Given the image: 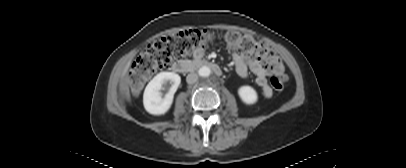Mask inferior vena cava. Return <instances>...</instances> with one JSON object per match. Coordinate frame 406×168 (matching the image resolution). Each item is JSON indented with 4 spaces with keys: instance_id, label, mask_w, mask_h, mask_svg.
I'll use <instances>...</instances> for the list:
<instances>
[{
    "instance_id": "inferior-vena-cava-1",
    "label": "inferior vena cava",
    "mask_w": 406,
    "mask_h": 168,
    "mask_svg": "<svg viewBox=\"0 0 406 168\" xmlns=\"http://www.w3.org/2000/svg\"><path fill=\"white\" fill-rule=\"evenodd\" d=\"M198 80V75L196 73H189L186 77L188 84H193Z\"/></svg>"
}]
</instances>
